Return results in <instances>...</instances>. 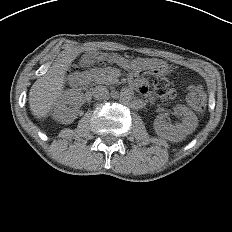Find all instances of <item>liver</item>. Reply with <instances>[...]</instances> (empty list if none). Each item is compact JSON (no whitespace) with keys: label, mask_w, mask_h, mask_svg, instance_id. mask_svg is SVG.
<instances>
[{"label":"liver","mask_w":232,"mask_h":232,"mask_svg":"<svg viewBox=\"0 0 232 232\" xmlns=\"http://www.w3.org/2000/svg\"><path fill=\"white\" fill-rule=\"evenodd\" d=\"M74 58L75 55L59 59L32 85L29 92V105L36 118L42 119L51 113L54 100L64 88L66 68Z\"/></svg>","instance_id":"liver-1"}]
</instances>
